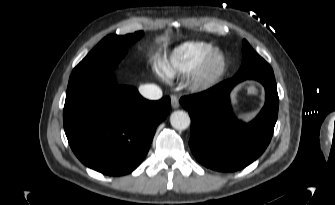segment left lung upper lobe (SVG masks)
Returning a JSON list of instances; mask_svg holds the SVG:
<instances>
[{
	"mask_svg": "<svg viewBox=\"0 0 335 205\" xmlns=\"http://www.w3.org/2000/svg\"><path fill=\"white\" fill-rule=\"evenodd\" d=\"M243 62L235 77L263 76L275 78L271 66L243 40Z\"/></svg>",
	"mask_w": 335,
	"mask_h": 205,
	"instance_id": "1",
	"label": "left lung upper lobe"
}]
</instances>
